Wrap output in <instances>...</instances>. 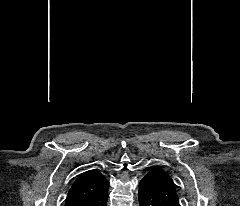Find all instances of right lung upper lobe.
Wrapping results in <instances>:
<instances>
[{"label":"right lung upper lobe","instance_id":"cb5924a9","mask_svg":"<svg viewBox=\"0 0 240 206\" xmlns=\"http://www.w3.org/2000/svg\"><path fill=\"white\" fill-rule=\"evenodd\" d=\"M109 185L107 179L97 170H89L81 174L73 183L65 206H76L80 202L100 193Z\"/></svg>","mask_w":240,"mask_h":206}]
</instances>
